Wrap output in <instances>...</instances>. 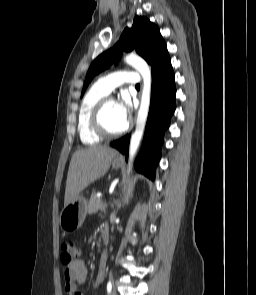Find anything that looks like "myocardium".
Returning <instances> with one entry per match:
<instances>
[{"label": "myocardium", "mask_w": 256, "mask_h": 295, "mask_svg": "<svg viewBox=\"0 0 256 295\" xmlns=\"http://www.w3.org/2000/svg\"><path fill=\"white\" fill-rule=\"evenodd\" d=\"M110 100L112 99L109 97H104L100 101H98V103L95 105V107L92 110L91 118H90V124H91L92 130L101 138H106V139L118 137L122 135L128 128V125L125 124L121 130L117 132H111L105 127L103 122V113H104L106 104Z\"/></svg>", "instance_id": "1"}]
</instances>
